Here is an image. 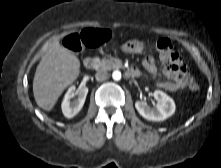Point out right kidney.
<instances>
[{
	"label": "right kidney",
	"instance_id": "ca27d5eb",
	"mask_svg": "<svg viewBox=\"0 0 221 168\" xmlns=\"http://www.w3.org/2000/svg\"><path fill=\"white\" fill-rule=\"evenodd\" d=\"M88 93L87 87H80L75 91V86H71L66 92L62 101V112L65 117L73 118L82 109ZM77 95L76 99H73Z\"/></svg>",
	"mask_w": 221,
	"mask_h": 168
}]
</instances>
